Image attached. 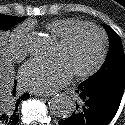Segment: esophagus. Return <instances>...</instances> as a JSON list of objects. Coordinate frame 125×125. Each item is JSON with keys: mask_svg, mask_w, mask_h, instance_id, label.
Masks as SVG:
<instances>
[{"mask_svg": "<svg viewBox=\"0 0 125 125\" xmlns=\"http://www.w3.org/2000/svg\"><path fill=\"white\" fill-rule=\"evenodd\" d=\"M34 94L40 97H48L49 95H52V94H45V93H34Z\"/></svg>", "mask_w": 125, "mask_h": 125, "instance_id": "esophagus-1", "label": "esophagus"}]
</instances>
